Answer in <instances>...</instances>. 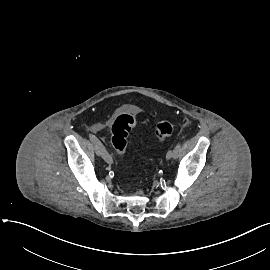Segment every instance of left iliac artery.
<instances>
[{
	"mask_svg": "<svg viewBox=\"0 0 270 270\" xmlns=\"http://www.w3.org/2000/svg\"><path fill=\"white\" fill-rule=\"evenodd\" d=\"M181 152V143L178 142L174 148V151H173V158H178L179 154Z\"/></svg>",
	"mask_w": 270,
	"mask_h": 270,
	"instance_id": "obj_1",
	"label": "left iliac artery"
}]
</instances>
